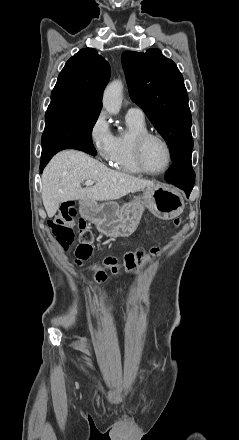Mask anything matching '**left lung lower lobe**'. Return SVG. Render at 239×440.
I'll return each instance as SVG.
<instances>
[{
	"instance_id": "1",
	"label": "left lung lower lobe",
	"mask_w": 239,
	"mask_h": 440,
	"mask_svg": "<svg viewBox=\"0 0 239 440\" xmlns=\"http://www.w3.org/2000/svg\"><path fill=\"white\" fill-rule=\"evenodd\" d=\"M167 182L184 190L189 197L195 181V173L191 166V152L176 158L166 174Z\"/></svg>"
}]
</instances>
